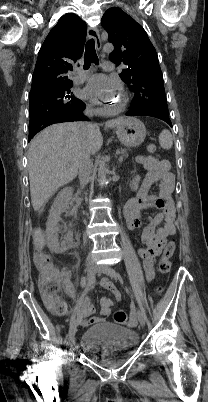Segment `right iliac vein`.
Here are the masks:
<instances>
[{"label": "right iliac vein", "mask_w": 208, "mask_h": 402, "mask_svg": "<svg viewBox=\"0 0 208 402\" xmlns=\"http://www.w3.org/2000/svg\"><path fill=\"white\" fill-rule=\"evenodd\" d=\"M96 273V264L94 261L89 260L87 264V280L88 282H91L93 278L95 277ZM77 321H74V323L70 326L69 329V340L71 343H74L75 341V333L77 331Z\"/></svg>", "instance_id": "right-iliac-vein-1"}]
</instances>
